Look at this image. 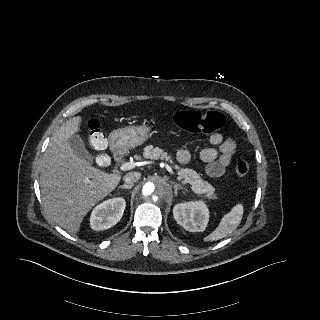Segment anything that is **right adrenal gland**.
<instances>
[{"label":"right adrenal gland","instance_id":"2a0ac1e0","mask_svg":"<svg viewBox=\"0 0 320 320\" xmlns=\"http://www.w3.org/2000/svg\"><path fill=\"white\" fill-rule=\"evenodd\" d=\"M133 186H134L133 184H129V185L124 184V185L119 186V188H121V189H131Z\"/></svg>","mask_w":320,"mask_h":320}]
</instances>
